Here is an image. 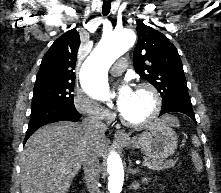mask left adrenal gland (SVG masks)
Segmentation results:
<instances>
[{"mask_svg":"<svg viewBox=\"0 0 221 193\" xmlns=\"http://www.w3.org/2000/svg\"><path fill=\"white\" fill-rule=\"evenodd\" d=\"M131 166H132V161L129 160L128 172H129L130 174H132V175H138L139 169H138V168H137V169H132Z\"/></svg>","mask_w":221,"mask_h":193,"instance_id":"left-adrenal-gland-1","label":"left adrenal gland"}]
</instances>
